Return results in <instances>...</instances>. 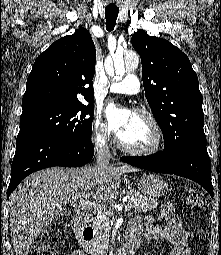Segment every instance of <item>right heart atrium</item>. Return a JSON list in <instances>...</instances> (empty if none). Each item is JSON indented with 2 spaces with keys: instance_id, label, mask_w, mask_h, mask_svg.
<instances>
[{
  "instance_id": "right-heart-atrium-1",
  "label": "right heart atrium",
  "mask_w": 221,
  "mask_h": 255,
  "mask_svg": "<svg viewBox=\"0 0 221 255\" xmlns=\"http://www.w3.org/2000/svg\"><path fill=\"white\" fill-rule=\"evenodd\" d=\"M109 139V133L107 130V126L101 120L99 116H96L94 121V135L93 141L97 148H105L107 146Z\"/></svg>"
}]
</instances>
